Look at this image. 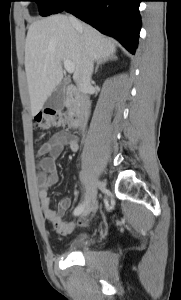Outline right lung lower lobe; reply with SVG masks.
<instances>
[{"label":"right lung lower lobe","mask_w":181,"mask_h":300,"mask_svg":"<svg viewBox=\"0 0 181 300\" xmlns=\"http://www.w3.org/2000/svg\"><path fill=\"white\" fill-rule=\"evenodd\" d=\"M141 1L144 0H66L56 13H72L103 34L116 38L134 54L141 28Z\"/></svg>","instance_id":"right-lung-lower-lobe-1"}]
</instances>
